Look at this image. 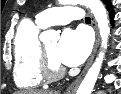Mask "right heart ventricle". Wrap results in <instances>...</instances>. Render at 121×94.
<instances>
[{"instance_id": "1", "label": "right heart ventricle", "mask_w": 121, "mask_h": 94, "mask_svg": "<svg viewBox=\"0 0 121 94\" xmlns=\"http://www.w3.org/2000/svg\"><path fill=\"white\" fill-rule=\"evenodd\" d=\"M45 26L38 21L24 20L14 39V81L17 87L33 89L41 86L39 33Z\"/></svg>"}]
</instances>
